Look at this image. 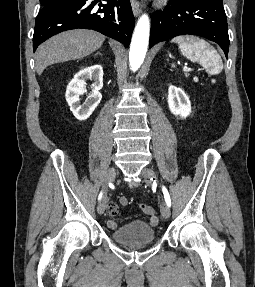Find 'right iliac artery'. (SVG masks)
Returning <instances> with one entry per match:
<instances>
[{
  "instance_id": "obj_1",
  "label": "right iliac artery",
  "mask_w": 255,
  "mask_h": 287,
  "mask_svg": "<svg viewBox=\"0 0 255 287\" xmlns=\"http://www.w3.org/2000/svg\"><path fill=\"white\" fill-rule=\"evenodd\" d=\"M102 197V193H100V195H99V199Z\"/></svg>"
}]
</instances>
